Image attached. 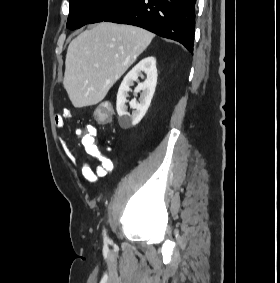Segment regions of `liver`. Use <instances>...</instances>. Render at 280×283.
Segmentation results:
<instances>
[{"instance_id": "liver-1", "label": "liver", "mask_w": 280, "mask_h": 283, "mask_svg": "<svg viewBox=\"0 0 280 283\" xmlns=\"http://www.w3.org/2000/svg\"><path fill=\"white\" fill-rule=\"evenodd\" d=\"M153 38V33L139 27L101 22L73 39L63 79L73 106L101 102Z\"/></svg>"}]
</instances>
